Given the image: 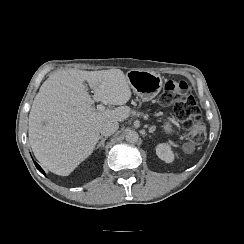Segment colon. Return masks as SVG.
Listing matches in <instances>:
<instances>
[{
	"instance_id": "obj_1",
	"label": "colon",
	"mask_w": 244,
	"mask_h": 244,
	"mask_svg": "<svg viewBox=\"0 0 244 244\" xmlns=\"http://www.w3.org/2000/svg\"><path fill=\"white\" fill-rule=\"evenodd\" d=\"M164 105H172L176 116L184 122L188 139L201 144L206 139V126L195 98L190 94L189 84L180 79H169L160 96Z\"/></svg>"
}]
</instances>
